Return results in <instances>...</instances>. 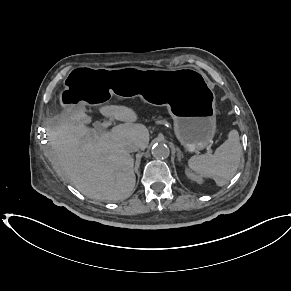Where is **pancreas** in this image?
<instances>
[{"mask_svg":"<svg viewBox=\"0 0 291 291\" xmlns=\"http://www.w3.org/2000/svg\"><path fill=\"white\" fill-rule=\"evenodd\" d=\"M152 119L154 120V121H156L157 123H160V124H165V123H167V120L166 119H164V118H162L161 116H152Z\"/></svg>","mask_w":291,"mask_h":291,"instance_id":"pancreas-1","label":"pancreas"}]
</instances>
